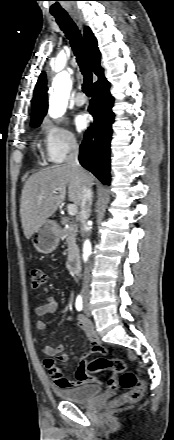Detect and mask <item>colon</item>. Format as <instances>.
<instances>
[{
    "label": "colon",
    "mask_w": 174,
    "mask_h": 440,
    "mask_svg": "<svg viewBox=\"0 0 174 440\" xmlns=\"http://www.w3.org/2000/svg\"><path fill=\"white\" fill-rule=\"evenodd\" d=\"M30 281L34 288L42 286L45 282L43 271L39 268H32L30 270ZM88 368L91 371L110 370L114 374L119 375L118 380L114 377H110L107 380V385L110 388H115L119 385L125 390L122 397L115 401V405L122 403H135L141 398L145 388L144 382L134 372L127 369V364L124 360L119 358H99L92 361L88 365Z\"/></svg>",
    "instance_id": "5ec220e1"
}]
</instances>
